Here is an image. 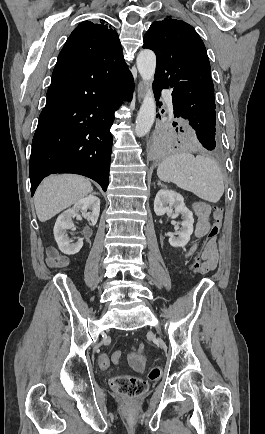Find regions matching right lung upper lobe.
<instances>
[{
    "label": "right lung upper lobe",
    "mask_w": 265,
    "mask_h": 434,
    "mask_svg": "<svg viewBox=\"0 0 265 434\" xmlns=\"http://www.w3.org/2000/svg\"><path fill=\"white\" fill-rule=\"evenodd\" d=\"M123 55L116 31L104 19L83 21L67 39L58 61H104Z\"/></svg>",
    "instance_id": "obj_1"
}]
</instances>
